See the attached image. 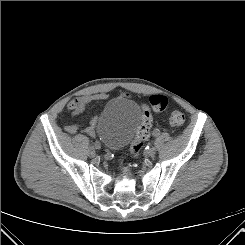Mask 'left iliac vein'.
Returning a JSON list of instances; mask_svg holds the SVG:
<instances>
[{
  "mask_svg": "<svg viewBox=\"0 0 245 245\" xmlns=\"http://www.w3.org/2000/svg\"><path fill=\"white\" fill-rule=\"evenodd\" d=\"M155 153H156V148H155V147H151V148L149 149V151H148V154H149L150 156H154Z\"/></svg>",
  "mask_w": 245,
  "mask_h": 245,
  "instance_id": "4c4485c4",
  "label": "left iliac vein"
}]
</instances>
